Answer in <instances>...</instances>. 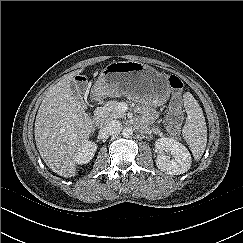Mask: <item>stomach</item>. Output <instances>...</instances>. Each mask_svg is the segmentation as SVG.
I'll return each mask as SVG.
<instances>
[{"instance_id":"stomach-1","label":"stomach","mask_w":243,"mask_h":243,"mask_svg":"<svg viewBox=\"0 0 243 243\" xmlns=\"http://www.w3.org/2000/svg\"><path fill=\"white\" fill-rule=\"evenodd\" d=\"M98 97H120L149 105L164 103L170 94L167 76L138 61L109 63L94 86Z\"/></svg>"}]
</instances>
